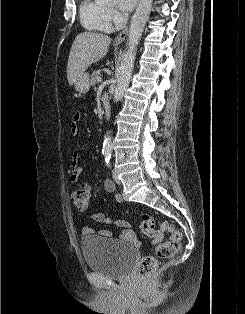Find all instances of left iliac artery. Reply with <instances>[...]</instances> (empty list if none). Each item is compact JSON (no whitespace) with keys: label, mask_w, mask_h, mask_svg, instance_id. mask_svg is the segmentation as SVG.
<instances>
[{"label":"left iliac artery","mask_w":245,"mask_h":314,"mask_svg":"<svg viewBox=\"0 0 245 314\" xmlns=\"http://www.w3.org/2000/svg\"><path fill=\"white\" fill-rule=\"evenodd\" d=\"M110 158H111V155H105V163L107 167H110Z\"/></svg>","instance_id":"obj_1"}]
</instances>
